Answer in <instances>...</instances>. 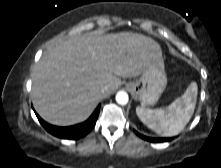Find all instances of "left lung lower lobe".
<instances>
[{
    "mask_svg": "<svg viewBox=\"0 0 221 168\" xmlns=\"http://www.w3.org/2000/svg\"><path fill=\"white\" fill-rule=\"evenodd\" d=\"M134 132L142 139L146 140V141H149V142H156V143H159V142H166V141H170L172 140V138H151V137H147V136H144L140 133H138L137 131L134 130Z\"/></svg>",
    "mask_w": 221,
    "mask_h": 168,
    "instance_id": "obj_1",
    "label": "left lung lower lobe"
}]
</instances>
